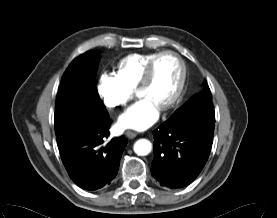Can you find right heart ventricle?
<instances>
[{"mask_svg": "<svg viewBox=\"0 0 277 218\" xmlns=\"http://www.w3.org/2000/svg\"><path fill=\"white\" fill-rule=\"evenodd\" d=\"M157 52L134 53L124 57L118 64L119 76L132 89H136L145 69Z\"/></svg>", "mask_w": 277, "mask_h": 218, "instance_id": "e07e8e85", "label": "right heart ventricle"}]
</instances>
